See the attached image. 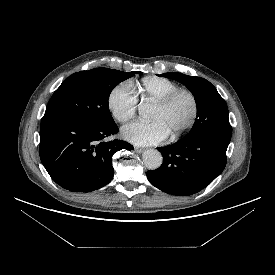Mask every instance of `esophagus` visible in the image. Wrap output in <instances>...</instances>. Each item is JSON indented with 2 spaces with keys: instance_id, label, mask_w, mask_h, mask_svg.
I'll return each instance as SVG.
<instances>
[{
  "instance_id": "34e87169",
  "label": "esophagus",
  "mask_w": 275,
  "mask_h": 275,
  "mask_svg": "<svg viewBox=\"0 0 275 275\" xmlns=\"http://www.w3.org/2000/svg\"><path fill=\"white\" fill-rule=\"evenodd\" d=\"M134 150H135V152H137V153H142V152L144 151V149H143V148H140V147H135Z\"/></svg>"
}]
</instances>
